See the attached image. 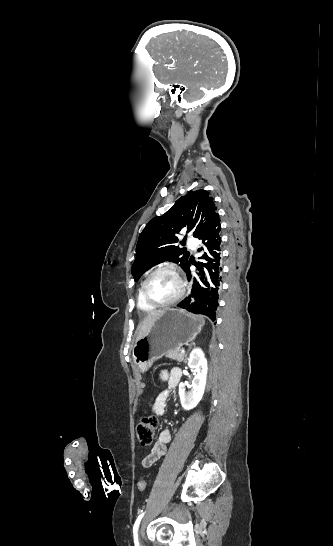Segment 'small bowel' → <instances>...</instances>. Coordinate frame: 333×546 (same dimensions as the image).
I'll use <instances>...</instances> for the list:
<instances>
[{
	"label": "small bowel",
	"mask_w": 333,
	"mask_h": 546,
	"mask_svg": "<svg viewBox=\"0 0 333 546\" xmlns=\"http://www.w3.org/2000/svg\"><path fill=\"white\" fill-rule=\"evenodd\" d=\"M182 376V372L179 368H173L170 371H163L161 374V380L168 383L170 389L175 388ZM168 392L159 394L152 406V410L156 415H162L165 407V400ZM171 441V431L167 428L162 429L158 435V440L154 444L151 451L142 459V466L145 468L151 467L156 463L167 450V444Z\"/></svg>",
	"instance_id": "1"
}]
</instances>
